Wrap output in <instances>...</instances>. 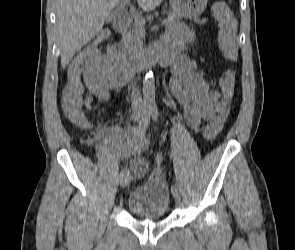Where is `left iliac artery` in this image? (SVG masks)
Here are the masks:
<instances>
[{
	"label": "left iliac artery",
	"mask_w": 295,
	"mask_h": 250,
	"mask_svg": "<svg viewBox=\"0 0 295 250\" xmlns=\"http://www.w3.org/2000/svg\"><path fill=\"white\" fill-rule=\"evenodd\" d=\"M150 112H151V116H152V120L154 121V122H157V120H158V109H157V107L156 106H152L151 108H150ZM171 190H172V192L173 191H176L177 190V186L176 185H172V187H171Z\"/></svg>",
	"instance_id": "obj_1"
}]
</instances>
